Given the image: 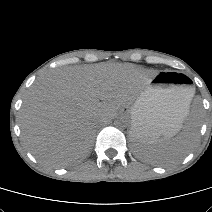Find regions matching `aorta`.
<instances>
[{
	"instance_id": "aorta-1",
	"label": "aorta",
	"mask_w": 212,
	"mask_h": 212,
	"mask_svg": "<svg viewBox=\"0 0 212 212\" xmlns=\"http://www.w3.org/2000/svg\"><path fill=\"white\" fill-rule=\"evenodd\" d=\"M114 125L117 128H124L127 125V120L124 117H118L115 121H114Z\"/></svg>"
}]
</instances>
